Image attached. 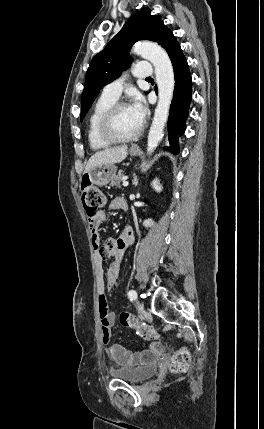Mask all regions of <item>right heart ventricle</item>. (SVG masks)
I'll use <instances>...</instances> for the list:
<instances>
[{"instance_id": "1", "label": "right heart ventricle", "mask_w": 264, "mask_h": 429, "mask_svg": "<svg viewBox=\"0 0 264 429\" xmlns=\"http://www.w3.org/2000/svg\"><path fill=\"white\" fill-rule=\"evenodd\" d=\"M116 100L108 98L104 95H101L100 98L96 101L93 106V109L90 113L88 119V142L93 150H102L108 148L111 143L103 140L98 131L99 122L104 115V113L108 110V108L113 105Z\"/></svg>"}]
</instances>
